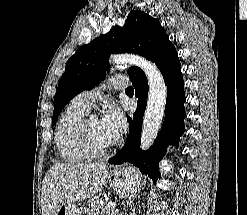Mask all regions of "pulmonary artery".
Masks as SVG:
<instances>
[{
    "mask_svg": "<svg viewBox=\"0 0 247 215\" xmlns=\"http://www.w3.org/2000/svg\"><path fill=\"white\" fill-rule=\"evenodd\" d=\"M128 84H129V79L126 76L116 75L107 81L106 86L108 88L120 90V89L127 87ZM101 94H102V89L101 88H95L92 90H87V91H83V92L79 93L74 98L73 101L78 106L82 107L85 110H88L90 104L93 101H95L97 98H99Z\"/></svg>",
    "mask_w": 247,
    "mask_h": 215,
    "instance_id": "pulmonary-artery-1",
    "label": "pulmonary artery"
}]
</instances>
